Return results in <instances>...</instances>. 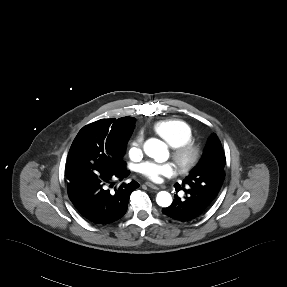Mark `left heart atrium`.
<instances>
[{
	"label": "left heart atrium",
	"mask_w": 287,
	"mask_h": 287,
	"mask_svg": "<svg viewBox=\"0 0 287 287\" xmlns=\"http://www.w3.org/2000/svg\"><path fill=\"white\" fill-rule=\"evenodd\" d=\"M140 173L153 182H160L162 177H171L176 173L172 163L145 162L140 166Z\"/></svg>",
	"instance_id": "left-heart-atrium-1"
}]
</instances>
